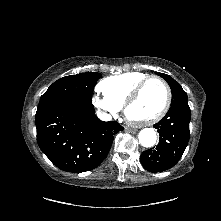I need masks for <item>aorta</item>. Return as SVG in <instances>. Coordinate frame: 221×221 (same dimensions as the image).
Masks as SVG:
<instances>
[{"label":"aorta","instance_id":"aorta-1","mask_svg":"<svg viewBox=\"0 0 221 221\" xmlns=\"http://www.w3.org/2000/svg\"><path fill=\"white\" fill-rule=\"evenodd\" d=\"M156 132L152 128H144L139 132V143L143 147H153L156 143Z\"/></svg>","mask_w":221,"mask_h":221}]
</instances>
